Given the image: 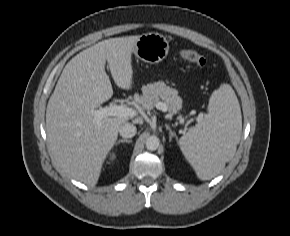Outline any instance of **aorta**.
Returning a JSON list of instances; mask_svg holds the SVG:
<instances>
[{
	"mask_svg": "<svg viewBox=\"0 0 290 236\" xmlns=\"http://www.w3.org/2000/svg\"><path fill=\"white\" fill-rule=\"evenodd\" d=\"M160 141L156 136H150L146 140V148L151 151H155L158 149Z\"/></svg>",
	"mask_w": 290,
	"mask_h": 236,
	"instance_id": "obj_1",
	"label": "aorta"
}]
</instances>
